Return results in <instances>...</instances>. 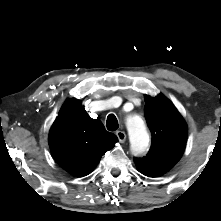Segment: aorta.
I'll use <instances>...</instances> for the list:
<instances>
[{"label":"aorta","mask_w":221,"mask_h":221,"mask_svg":"<svg viewBox=\"0 0 221 221\" xmlns=\"http://www.w3.org/2000/svg\"><path fill=\"white\" fill-rule=\"evenodd\" d=\"M126 128L129 134L131 151L134 154L143 153L149 145V135L144 121L139 116H131L126 120Z\"/></svg>","instance_id":"aorta-1"}]
</instances>
